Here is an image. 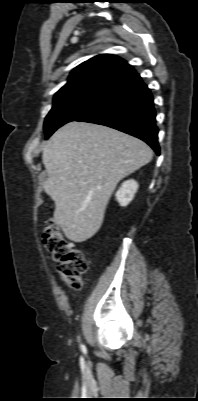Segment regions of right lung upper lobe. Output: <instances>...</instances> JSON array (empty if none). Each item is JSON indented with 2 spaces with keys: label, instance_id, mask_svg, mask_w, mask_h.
I'll return each instance as SVG.
<instances>
[{
  "label": "right lung upper lobe",
  "instance_id": "cb5924a9",
  "mask_svg": "<svg viewBox=\"0 0 198 401\" xmlns=\"http://www.w3.org/2000/svg\"><path fill=\"white\" fill-rule=\"evenodd\" d=\"M135 73L136 71L118 56L97 55L77 66L71 72L68 82L54 97L86 88L110 90Z\"/></svg>",
  "mask_w": 198,
  "mask_h": 401
}]
</instances>
